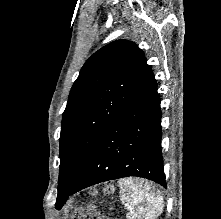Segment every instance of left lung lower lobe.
<instances>
[{
	"label": "left lung lower lobe",
	"instance_id": "left-lung-lower-lobe-1",
	"mask_svg": "<svg viewBox=\"0 0 221 219\" xmlns=\"http://www.w3.org/2000/svg\"><path fill=\"white\" fill-rule=\"evenodd\" d=\"M161 110L154 75L106 130L70 194L94 184L138 176L166 187Z\"/></svg>",
	"mask_w": 221,
	"mask_h": 219
}]
</instances>
